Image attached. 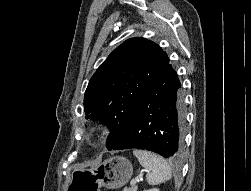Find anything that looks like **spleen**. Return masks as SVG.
<instances>
[{
  "label": "spleen",
  "mask_w": 251,
  "mask_h": 191,
  "mask_svg": "<svg viewBox=\"0 0 251 191\" xmlns=\"http://www.w3.org/2000/svg\"><path fill=\"white\" fill-rule=\"evenodd\" d=\"M133 153L139 163L148 169L146 179L150 185H157V183L171 179V167L163 157L152 153V151H146V149H134Z\"/></svg>",
  "instance_id": "obj_1"
}]
</instances>
